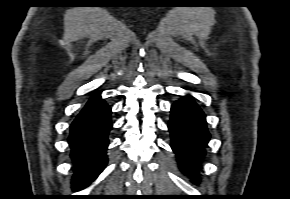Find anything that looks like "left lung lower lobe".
<instances>
[{"label":"left lung lower lobe","instance_id":"0a47b994","mask_svg":"<svg viewBox=\"0 0 290 199\" xmlns=\"http://www.w3.org/2000/svg\"><path fill=\"white\" fill-rule=\"evenodd\" d=\"M168 128L179 164L186 173L194 176L210 134L205 115L191 96H185L172 105Z\"/></svg>","mask_w":290,"mask_h":199}]
</instances>
